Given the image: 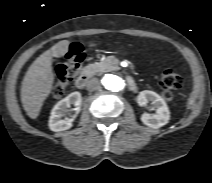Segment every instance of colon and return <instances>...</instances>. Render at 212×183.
I'll return each instance as SVG.
<instances>
[{
  "instance_id": "5ec220e1",
  "label": "colon",
  "mask_w": 212,
  "mask_h": 183,
  "mask_svg": "<svg viewBox=\"0 0 212 183\" xmlns=\"http://www.w3.org/2000/svg\"><path fill=\"white\" fill-rule=\"evenodd\" d=\"M83 60L82 47L79 44H73L64 61L55 67V81L52 87V94L55 98H59L65 93L70 80L78 73ZM182 84L183 79L177 72L171 69L164 71L160 79V85L163 88L162 97L166 101L172 100L173 90L180 88Z\"/></svg>"
}]
</instances>
